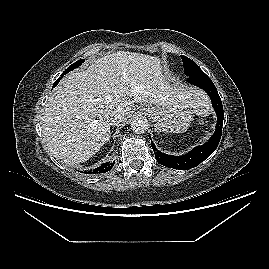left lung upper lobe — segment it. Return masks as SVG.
I'll return each instance as SVG.
<instances>
[{
  "label": "left lung upper lobe",
  "mask_w": 269,
  "mask_h": 269,
  "mask_svg": "<svg viewBox=\"0 0 269 269\" xmlns=\"http://www.w3.org/2000/svg\"><path fill=\"white\" fill-rule=\"evenodd\" d=\"M182 61H183V66H184V73L185 75H187L188 77H192V76H196L198 74H202L204 73L199 66L192 61L191 59H189L188 57L181 55Z\"/></svg>",
  "instance_id": "1"
}]
</instances>
